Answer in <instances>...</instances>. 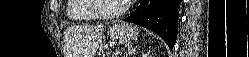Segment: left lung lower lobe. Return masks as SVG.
<instances>
[{
	"label": "left lung lower lobe",
	"instance_id": "left-lung-lower-lobe-1",
	"mask_svg": "<svg viewBox=\"0 0 249 57\" xmlns=\"http://www.w3.org/2000/svg\"><path fill=\"white\" fill-rule=\"evenodd\" d=\"M181 0H141L139 7L125 21L146 27L173 48L178 32V8Z\"/></svg>",
	"mask_w": 249,
	"mask_h": 57
}]
</instances>
